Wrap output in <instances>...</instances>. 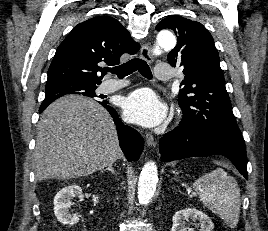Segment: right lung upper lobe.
I'll list each match as a JSON object with an SVG mask.
<instances>
[{
    "instance_id": "obj_1",
    "label": "right lung upper lobe",
    "mask_w": 268,
    "mask_h": 231,
    "mask_svg": "<svg viewBox=\"0 0 268 231\" xmlns=\"http://www.w3.org/2000/svg\"><path fill=\"white\" fill-rule=\"evenodd\" d=\"M139 44L116 19L98 16L78 24L59 45L48 69L47 83L61 80L82 83H101L106 74L98 77L99 63L117 65L123 53L134 54ZM53 99H45L39 110H44Z\"/></svg>"
}]
</instances>
